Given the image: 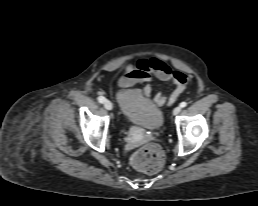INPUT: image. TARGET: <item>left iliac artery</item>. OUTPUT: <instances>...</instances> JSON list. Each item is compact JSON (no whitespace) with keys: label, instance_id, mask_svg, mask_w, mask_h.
Listing matches in <instances>:
<instances>
[{"label":"left iliac artery","instance_id":"left-iliac-artery-1","mask_svg":"<svg viewBox=\"0 0 258 206\" xmlns=\"http://www.w3.org/2000/svg\"><path fill=\"white\" fill-rule=\"evenodd\" d=\"M186 106H187V103H186V102H181V103H180V107H181V108H184V107H186Z\"/></svg>","mask_w":258,"mask_h":206}]
</instances>
